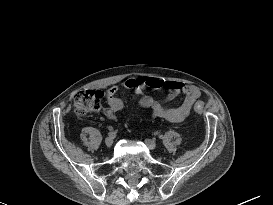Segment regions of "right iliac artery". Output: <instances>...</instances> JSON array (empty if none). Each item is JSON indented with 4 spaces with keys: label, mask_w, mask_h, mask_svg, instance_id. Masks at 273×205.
Wrapping results in <instances>:
<instances>
[{
    "label": "right iliac artery",
    "mask_w": 273,
    "mask_h": 205,
    "mask_svg": "<svg viewBox=\"0 0 273 205\" xmlns=\"http://www.w3.org/2000/svg\"><path fill=\"white\" fill-rule=\"evenodd\" d=\"M108 135L114 138L116 136V132L115 131L109 132Z\"/></svg>",
    "instance_id": "1"
}]
</instances>
